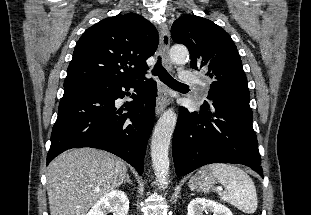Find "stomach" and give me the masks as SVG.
Instances as JSON below:
<instances>
[{
    "instance_id": "1",
    "label": "stomach",
    "mask_w": 311,
    "mask_h": 215,
    "mask_svg": "<svg viewBox=\"0 0 311 215\" xmlns=\"http://www.w3.org/2000/svg\"><path fill=\"white\" fill-rule=\"evenodd\" d=\"M215 184V178L206 173V168L198 171L192 176L188 182V186L192 191L208 193Z\"/></svg>"
}]
</instances>
